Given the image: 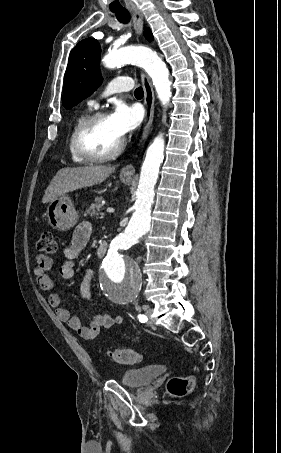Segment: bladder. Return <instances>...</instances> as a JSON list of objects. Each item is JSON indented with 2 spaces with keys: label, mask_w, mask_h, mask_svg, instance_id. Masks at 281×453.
Segmentation results:
<instances>
[{
  "label": "bladder",
  "mask_w": 281,
  "mask_h": 453,
  "mask_svg": "<svg viewBox=\"0 0 281 453\" xmlns=\"http://www.w3.org/2000/svg\"><path fill=\"white\" fill-rule=\"evenodd\" d=\"M165 372L162 366H146L126 371L121 383L132 388H139L150 384L153 380Z\"/></svg>",
  "instance_id": "bladder-1"
}]
</instances>
